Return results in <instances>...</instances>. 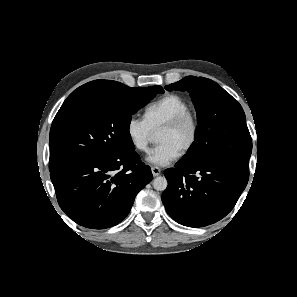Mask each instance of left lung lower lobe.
Segmentation results:
<instances>
[{
    "mask_svg": "<svg viewBox=\"0 0 297 297\" xmlns=\"http://www.w3.org/2000/svg\"><path fill=\"white\" fill-rule=\"evenodd\" d=\"M168 186L162 194L167 213L179 224L203 227L225 217L245 189L249 171L205 161L178 162L166 169Z\"/></svg>",
    "mask_w": 297,
    "mask_h": 297,
    "instance_id": "obj_1",
    "label": "left lung lower lobe"
}]
</instances>
